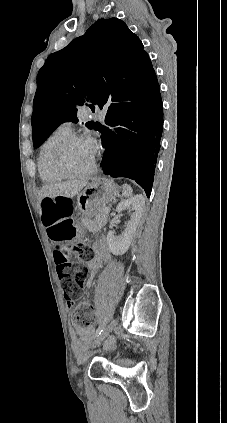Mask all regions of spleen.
Segmentation results:
<instances>
[{"label": "spleen", "mask_w": 227, "mask_h": 423, "mask_svg": "<svg viewBox=\"0 0 227 423\" xmlns=\"http://www.w3.org/2000/svg\"><path fill=\"white\" fill-rule=\"evenodd\" d=\"M123 196H125V198H129V196H132V188H130V186H127V184H124L123 186Z\"/></svg>", "instance_id": "1"}]
</instances>
